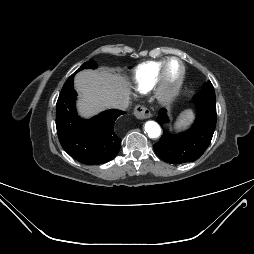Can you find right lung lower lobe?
<instances>
[{"instance_id":"obj_1","label":"right lung lower lobe","mask_w":254,"mask_h":254,"mask_svg":"<svg viewBox=\"0 0 254 254\" xmlns=\"http://www.w3.org/2000/svg\"><path fill=\"white\" fill-rule=\"evenodd\" d=\"M74 75L64 84L56 104V127L63 149L83 164H102L119 152L121 139L114 131L116 119L125 112L110 109L90 120L76 112Z\"/></svg>"}]
</instances>
